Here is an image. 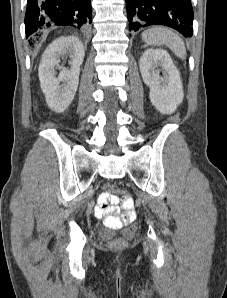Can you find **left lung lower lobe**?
Returning a JSON list of instances; mask_svg holds the SVG:
<instances>
[{
    "label": "left lung lower lobe",
    "instance_id": "left-lung-lower-lobe-1",
    "mask_svg": "<svg viewBox=\"0 0 227 298\" xmlns=\"http://www.w3.org/2000/svg\"><path fill=\"white\" fill-rule=\"evenodd\" d=\"M129 30L161 24L192 36L193 9L191 0H126Z\"/></svg>",
    "mask_w": 227,
    "mask_h": 298
}]
</instances>
